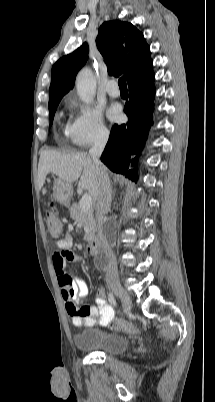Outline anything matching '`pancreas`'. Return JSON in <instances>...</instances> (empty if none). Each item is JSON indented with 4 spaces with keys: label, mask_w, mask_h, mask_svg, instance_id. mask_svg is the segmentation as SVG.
Returning <instances> with one entry per match:
<instances>
[{
    "label": "pancreas",
    "mask_w": 215,
    "mask_h": 402,
    "mask_svg": "<svg viewBox=\"0 0 215 402\" xmlns=\"http://www.w3.org/2000/svg\"><path fill=\"white\" fill-rule=\"evenodd\" d=\"M70 216L76 223L82 224L85 231L84 240L90 241L96 233V223L93 216V209L82 211L80 204H73L70 208Z\"/></svg>",
    "instance_id": "cf45deb5"
}]
</instances>
